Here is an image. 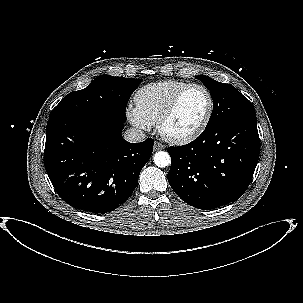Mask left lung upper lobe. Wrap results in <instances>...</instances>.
<instances>
[{"label": "left lung upper lobe", "instance_id": "left-lung-upper-lobe-1", "mask_svg": "<svg viewBox=\"0 0 303 303\" xmlns=\"http://www.w3.org/2000/svg\"><path fill=\"white\" fill-rule=\"evenodd\" d=\"M210 90L213 111L206 127L224 121L256 115L253 104L230 84L220 83L207 76H197Z\"/></svg>", "mask_w": 303, "mask_h": 303}]
</instances>
